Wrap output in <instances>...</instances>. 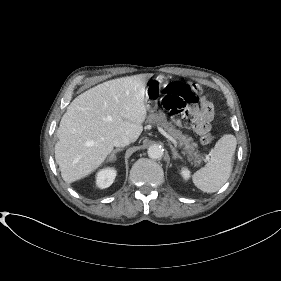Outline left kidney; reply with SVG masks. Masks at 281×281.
I'll return each mask as SVG.
<instances>
[{
    "instance_id": "1",
    "label": "left kidney",
    "mask_w": 281,
    "mask_h": 281,
    "mask_svg": "<svg viewBox=\"0 0 281 281\" xmlns=\"http://www.w3.org/2000/svg\"><path fill=\"white\" fill-rule=\"evenodd\" d=\"M181 175L185 180L190 178V171L187 168H182Z\"/></svg>"
}]
</instances>
